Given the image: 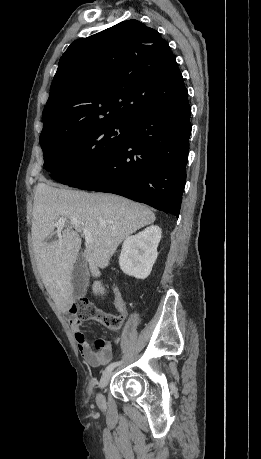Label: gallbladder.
Segmentation results:
<instances>
[{"instance_id":"bac80fb5","label":"gallbladder","mask_w":261,"mask_h":459,"mask_svg":"<svg viewBox=\"0 0 261 459\" xmlns=\"http://www.w3.org/2000/svg\"><path fill=\"white\" fill-rule=\"evenodd\" d=\"M87 282V260L85 254L81 252L75 264L72 275L73 293L76 298L85 294Z\"/></svg>"}]
</instances>
